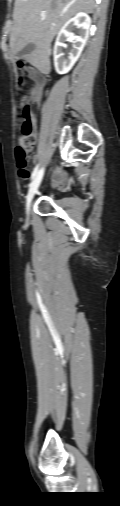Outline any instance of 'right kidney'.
Wrapping results in <instances>:
<instances>
[{
    "label": "right kidney",
    "instance_id": "obj_1",
    "mask_svg": "<svg viewBox=\"0 0 120 506\" xmlns=\"http://www.w3.org/2000/svg\"><path fill=\"white\" fill-rule=\"evenodd\" d=\"M91 27L90 17L84 13H77L73 18L69 19L59 31L54 46V66L58 74H66L71 70L76 61L79 59L86 41L89 37ZM78 28L79 35L75 36L73 30ZM71 40L73 42L72 50L67 58L64 57L62 48L66 47L65 42Z\"/></svg>",
    "mask_w": 120,
    "mask_h": 506
}]
</instances>
